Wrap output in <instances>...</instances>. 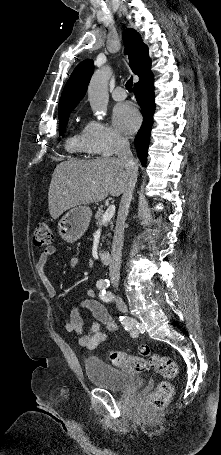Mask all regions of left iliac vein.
Instances as JSON below:
<instances>
[{
	"mask_svg": "<svg viewBox=\"0 0 221 455\" xmlns=\"http://www.w3.org/2000/svg\"><path fill=\"white\" fill-rule=\"evenodd\" d=\"M116 304H117V308L119 311L124 312V313L127 312V306L125 305V303L122 300L117 299Z\"/></svg>",
	"mask_w": 221,
	"mask_h": 455,
	"instance_id": "4c4485c4",
	"label": "left iliac vein"
}]
</instances>
